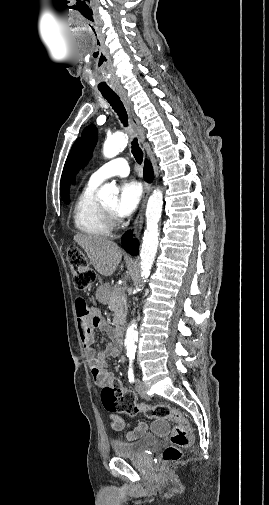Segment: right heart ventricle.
I'll return each instance as SVG.
<instances>
[{
	"label": "right heart ventricle",
	"instance_id": "e07e8e85",
	"mask_svg": "<svg viewBox=\"0 0 269 505\" xmlns=\"http://www.w3.org/2000/svg\"><path fill=\"white\" fill-rule=\"evenodd\" d=\"M98 185L89 181L80 192L73 208V222L81 233L103 237L110 232V224L96 197Z\"/></svg>",
	"mask_w": 269,
	"mask_h": 505
}]
</instances>
